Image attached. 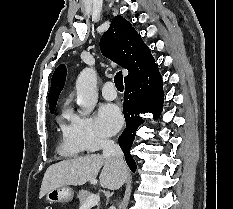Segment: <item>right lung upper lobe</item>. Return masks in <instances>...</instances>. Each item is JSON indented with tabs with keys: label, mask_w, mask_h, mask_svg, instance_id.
<instances>
[{
	"label": "right lung upper lobe",
	"mask_w": 233,
	"mask_h": 209,
	"mask_svg": "<svg viewBox=\"0 0 233 209\" xmlns=\"http://www.w3.org/2000/svg\"><path fill=\"white\" fill-rule=\"evenodd\" d=\"M100 49L105 57L128 70L129 74L124 78L125 85L142 77L157 65L141 36L131 23L120 15L113 18L109 29L100 39ZM66 73L65 65H60L52 76L48 94L50 111H54L56 107L57 98L65 84Z\"/></svg>",
	"instance_id": "1"
}]
</instances>
